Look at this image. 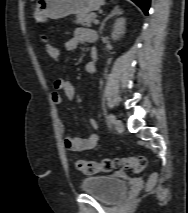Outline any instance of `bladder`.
<instances>
[{"label": "bladder", "instance_id": "obj_1", "mask_svg": "<svg viewBox=\"0 0 188 213\" xmlns=\"http://www.w3.org/2000/svg\"><path fill=\"white\" fill-rule=\"evenodd\" d=\"M80 189L103 203L112 204L125 194L126 184L116 175H90L82 179Z\"/></svg>", "mask_w": 188, "mask_h": 213}]
</instances>
